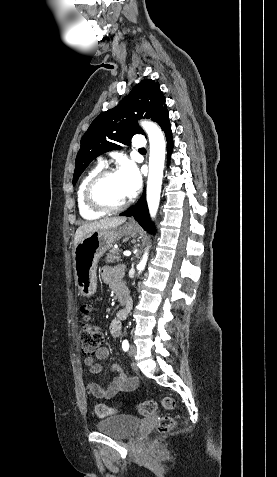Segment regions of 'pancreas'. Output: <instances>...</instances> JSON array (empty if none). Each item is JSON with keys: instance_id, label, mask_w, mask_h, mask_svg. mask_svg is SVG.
Segmentation results:
<instances>
[{"instance_id": "cf45deb5", "label": "pancreas", "mask_w": 277, "mask_h": 477, "mask_svg": "<svg viewBox=\"0 0 277 477\" xmlns=\"http://www.w3.org/2000/svg\"><path fill=\"white\" fill-rule=\"evenodd\" d=\"M120 250L112 248L109 250L108 254L106 255V262L108 263H114V262H120V255H119Z\"/></svg>"}]
</instances>
